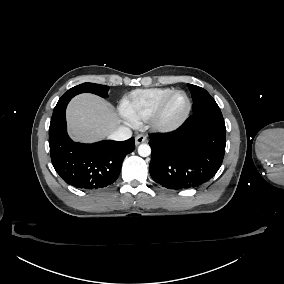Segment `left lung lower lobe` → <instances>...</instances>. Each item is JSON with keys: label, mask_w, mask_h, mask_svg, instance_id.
Wrapping results in <instances>:
<instances>
[{"label": "left lung lower lobe", "mask_w": 284, "mask_h": 284, "mask_svg": "<svg viewBox=\"0 0 284 284\" xmlns=\"http://www.w3.org/2000/svg\"><path fill=\"white\" fill-rule=\"evenodd\" d=\"M153 180L181 190L197 187L219 170L225 153L226 127L218 106L193 114L177 130L150 135Z\"/></svg>", "instance_id": "1"}]
</instances>
